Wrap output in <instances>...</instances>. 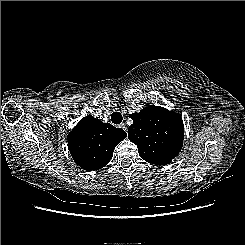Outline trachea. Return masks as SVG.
Wrapping results in <instances>:
<instances>
[{
  "mask_svg": "<svg viewBox=\"0 0 245 245\" xmlns=\"http://www.w3.org/2000/svg\"><path fill=\"white\" fill-rule=\"evenodd\" d=\"M123 120V117L121 115V113L119 112H113L112 115H111V121L114 123V124H120Z\"/></svg>",
  "mask_w": 245,
  "mask_h": 245,
  "instance_id": "trachea-1",
  "label": "trachea"
}]
</instances>
